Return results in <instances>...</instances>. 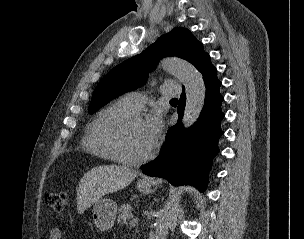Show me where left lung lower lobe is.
<instances>
[{
	"instance_id": "1",
	"label": "left lung lower lobe",
	"mask_w": 304,
	"mask_h": 239,
	"mask_svg": "<svg viewBox=\"0 0 304 239\" xmlns=\"http://www.w3.org/2000/svg\"><path fill=\"white\" fill-rule=\"evenodd\" d=\"M206 86L204 107L198 121L189 129L181 123L185 109L186 95L179 99L177 112L179 123L171 127L159 156L142 166L148 176L163 177L173 185H193L204 192L208 182L213 157L218 154V141L223 132L220 128L224 114L221 111V82L210 56L199 68Z\"/></svg>"
}]
</instances>
